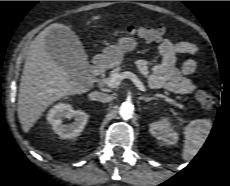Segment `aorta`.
<instances>
[{
	"instance_id": "aorta-1",
	"label": "aorta",
	"mask_w": 230,
	"mask_h": 186,
	"mask_svg": "<svg viewBox=\"0 0 230 186\" xmlns=\"http://www.w3.org/2000/svg\"><path fill=\"white\" fill-rule=\"evenodd\" d=\"M119 114L123 119H130L134 114V107L130 103H123L120 106Z\"/></svg>"
}]
</instances>
